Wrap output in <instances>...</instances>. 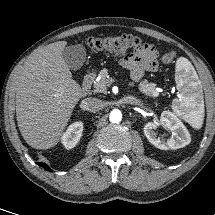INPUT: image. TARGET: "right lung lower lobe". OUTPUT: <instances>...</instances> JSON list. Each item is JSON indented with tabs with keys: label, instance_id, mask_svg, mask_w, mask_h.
I'll return each mask as SVG.
<instances>
[{
	"label": "right lung lower lobe",
	"instance_id": "98d812e1",
	"mask_svg": "<svg viewBox=\"0 0 215 215\" xmlns=\"http://www.w3.org/2000/svg\"><path fill=\"white\" fill-rule=\"evenodd\" d=\"M37 164L40 166V167H43L45 170H48V171H52L49 166L45 163H40V162H37Z\"/></svg>",
	"mask_w": 215,
	"mask_h": 215
}]
</instances>
